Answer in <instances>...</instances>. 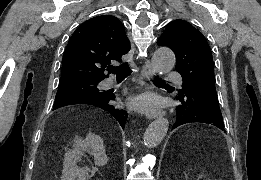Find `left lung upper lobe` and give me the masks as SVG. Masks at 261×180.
I'll use <instances>...</instances> for the list:
<instances>
[{"label": "left lung upper lobe", "instance_id": "1", "mask_svg": "<svg viewBox=\"0 0 261 180\" xmlns=\"http://www.w3.org/2000/svg\"><path fill=\"white\" fill-rule=\"evenodd\" d=\"M157 44L174 51L177 58L175 70L183 81L192 82L202 91L217 96L212 53L202 33L186 21L174 20L168 24Z\"/></svg>", "mask_w": 261, "mask_h": 180}]
</instances>
